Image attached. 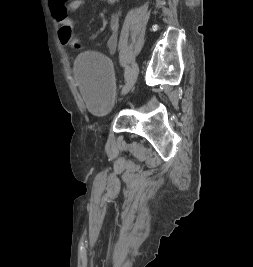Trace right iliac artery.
<instances>
[{"label":"right iliac artery","instance_id":"82829eb1","mask_svg":"<svg viewBox=\"0 0 253 267\" xmlns=\"http://www.w3.org/2000/svg\"><path fill=\"white\" fill-rule=\"evenodd\" d=\"M130 71H131V68L129 66H127L125 68V78H126V80L128 79V77L130 75Z\"/></svg>","mask_w":253,"mask_h":267}]
</instances>
